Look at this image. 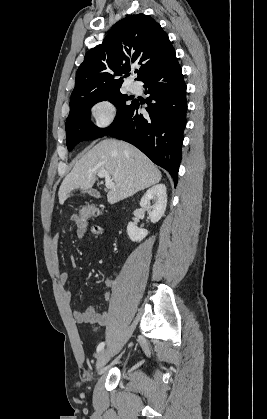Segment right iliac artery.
Here are the masks:
<instances>
[{
	"label": "right iliac artery",
	"mask_w": 267,
	"mask_h": 419,
	"mask_svg": "<svg viewBox=\"0 0 267 419\" xmlns=\"http://www.w3.org/2000/svg\"><path fill=\"white\" fill-rule=\"evenodd\" d=\"M105 346L104 342H101L98 346H97V352H100Z\"/></svg>",
	"instance_id": "obj_1"
}]
</instances>
